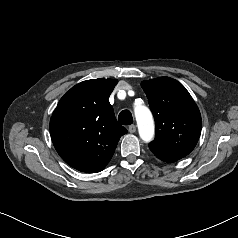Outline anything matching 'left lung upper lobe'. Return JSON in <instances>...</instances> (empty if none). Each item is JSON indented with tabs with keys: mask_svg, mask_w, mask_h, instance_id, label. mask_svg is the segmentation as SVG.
<instances>
[{
	"mask_svg": "<svg viewBox=\"0 0 238 238\" xmlns=\"http://www.w3.org/2000/svg\"><path fill=\"white\" fill-rule=\"evenodd\" d=\"M141 86L155 120L150 150L174 159L187 156L196 146L202 127L200 111L191 95L170 77L143 81Z\"/></svg>",
	"mask_w": 238,
	"mask_h": 238,
	"instance_id": "5c2ea615",
	"label": "left lung upper lobe"
}]
</instances>
